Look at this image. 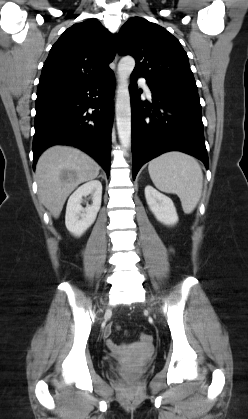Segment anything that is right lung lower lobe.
Masks as SVG:
<instances>
[{
    "label": "right lung lower lobe",
    "instance_id": "98d812e1",
    "mask_svg": "<svg viewBox=\"0 0 248 419\" xmlns=\"http://www.w3.org/2000/svg\"><path fill=\"white\" fill-rule=\"evenodd\" d=\"M114 91L110 69L96 80L37 92L33 167L46 148L64 144L91 155L109 175Z\"/></svg>",
    "mask_w": 248,
    "mask_h": 419
}]
</instances>
